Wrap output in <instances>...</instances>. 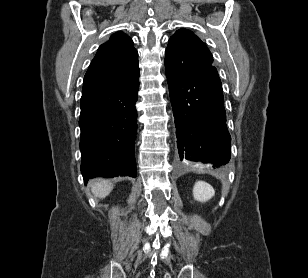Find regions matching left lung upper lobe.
I'll list each match as a JSON object with an SVG mask.
<instances>
[{
    "label": "left lung upper lobe",
    "mask_w": 308,
    "mask_h": 278,
    "mask_svg": "<svg viewBox=\"0 0 308 278\" xmlns=\"http://www.w3.org/2000/svg\"><path fill=\"white\" fill-rule=\"evenodd\" d=\"M213 57L198 36L187 29H179L169 39L165 52V68L179 73L211 66Z\"/></svg>",
    "instance_id": "5c2ea615"
}]
</instances>
